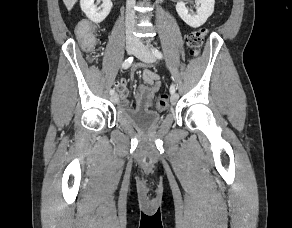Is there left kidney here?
Masks as SVG:
<instances>
[{"instance_id": "1", "label": "left kidney", "mask_w": 292, "mask_h": 228, "mask_svg": "<svg viewBox=\"0 0 292 228\" xmlns=\"http://www.w3.org/2000/svg\"><path fill=\"white\" fill-rule=\"evenodd\" d=\"M200 7L196 14L189 11L182 1L176 4V11L180 18L190 27L197 28L203 25L214 11L215 0H196Z\"/></svg>"}]
</instances>
